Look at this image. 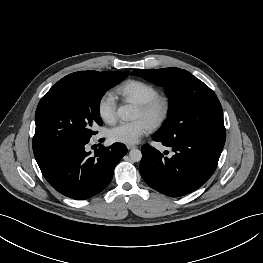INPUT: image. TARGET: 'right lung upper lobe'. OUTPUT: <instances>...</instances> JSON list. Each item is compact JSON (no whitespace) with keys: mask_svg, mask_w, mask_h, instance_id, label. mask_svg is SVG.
Here are the masks:
<instances>
[{"mask_svg":"<svg viewBox=\"0 0 263 263\" xmlns=\"http://www.w3.org/2000/svg\"><path fill=\"white\" fill-rule=\"evenodd\" d=\"M96 72L97 71H80V72L71 73L65 76L64 78H62L61 80H59L54 85V87L78 84L84 81L85 79H87L88 77L96 74Z\"/></svg>","mask_w":263,"mask_h":263,"instance_id":"obj_1","label":"right lung upper lobe"}]
</instances>
